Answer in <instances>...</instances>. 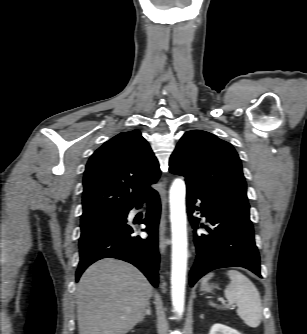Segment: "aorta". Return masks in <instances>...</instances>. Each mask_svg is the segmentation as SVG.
Segmentation results:
<instances>
[{
    "instance_id": "aorta-1",
    "label": "aorta",
    "mask_w": 307,
    "mask_h": 334,
    "mask_svg": "<svg viewBox=\"0 0 307 334\" xmlns=\"http://www.w3.org/2000/svg\"><path fill=\"white\" fill-rule=\"evenodd\" d=\"M185 196V182L175 179L169 193L172 231L171 298L173 309L179 316L184 312L188 259Z\"/></svg>"
}]
</instances>
